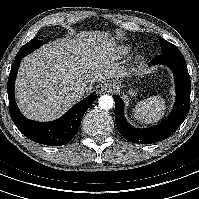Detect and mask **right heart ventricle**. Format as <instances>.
Returning <instances> with one entry per match:
<instances>
[{"instance_id":"1","label":"right heart ventricle","mask_w":199,"mask_h":199,"mask_svg":"<svg viewBox=\"0 0 199 199\" xmlns=\"http://www.w3.org/2000/svg\"><path fill=\"white\" fill-rule=\"evenodd\" d=\"M127 51V48H122V52L125 53Z\"/></svg>"}]
</instances>
